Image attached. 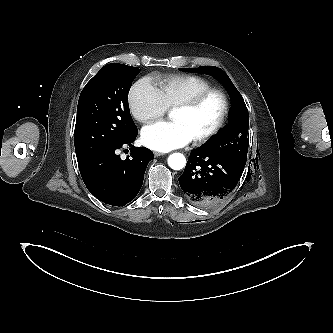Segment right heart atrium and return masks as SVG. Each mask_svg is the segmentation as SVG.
<instances>
[{"mask_svg":"<svg viewBox=\"0 0 333 333\" xmlns=\"http://www.w3.org/2000/svg\"><path fill=\"white\" fill-rule=\"evenodd\" d=\"M128 105L132 116L140 123L160 118L167 111L158 88L148 78H142L132 86Z\"/></svg>","mask_w":333,"mask_h":333,"instance_id":"d8ad5b80","label":"right heart atrium"}]
</instances>
